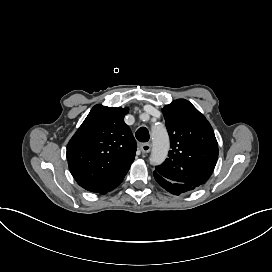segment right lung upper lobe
Masks as SVG:
<instances>
[{"label": "right lung upper lobe", "instance_id": "right-lung-upper-lobe-1", "mask_svg": "<svg viewBox=\"0 0 272 272\" xmlns=\"http://www.w3.org/2000/svg\"><path fill=\"white\" fill-rule=\"evenodd\" d=\"M128 108L95 105L67 145L71 174L84 189L106 194L123 181L136 141L123 118Z\"/></svg>", "mask_w": 272, "mask_h": 272}]
</instances>
